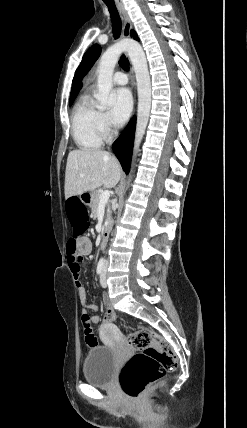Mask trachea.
<instances>
[{
  "mask_svg": "<svg viewBox=\"0 0 247 428\" xmlns=\"http://www.w3.org/2000/svg\"><path fill=\"white\" fill-rule=\"evenodd\" d=\"M105 4L107 5L108 10L110 12L112 26H113L114 38L117 39L120 37V34H121V18L119 16L118 10H117L114 2L113 3L105 2ZM119 65L125 71L129 70V63H128V60L126 59V57L124 55L121 56V58L119 60Z\"/></svg>",
  "mask_w": 247,
  "mask_h": 428,
  "instance_id": "3493384b",
  "label": "trachea"
}]
</instances>
